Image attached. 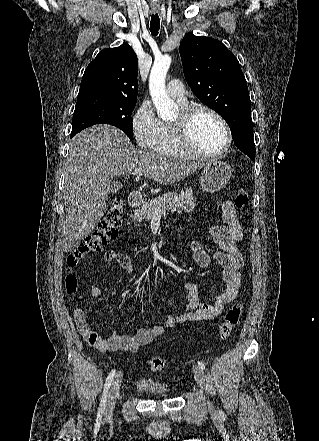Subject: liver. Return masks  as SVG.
I'll use <instances>...</instances> for the list:
<instances>
[{
    "label": "liver",
    "mask_w": 319,
    "mask_h": 441,
    "mask_svg": "<svg viewBox=\"0 0 319 441\" xmlns=\"http://www.w3.org/2000/svg\"><path fill=\"white\" fill-rule=\"evenodd\" d=\"M64 170L63 200L66 220L62 229L65 252H72L88 236L107 210L112 179L141 168L145 177L174 184L205 163L137 150L120 129L94 125L70 141Z\"/></svg>",
    "instance_id": "obj_1"
}]
</instances>
